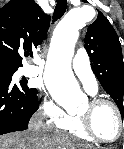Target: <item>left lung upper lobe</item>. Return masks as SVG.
<instances>
[{
    "label": "left lung upper lobe",
    "instance_id": "obj_1",
    "mask_svg": "<svg viewBox=\"0 0 124 149\" xmlns=\"http://www.w3.org/2000/svg\"><path fill=\"white\" fill-rule=\"evenodd\" d=\"M85 48L95 76L113 98L123 117L124 62L121 44L114 28L100 11L87 29Z\"/></svg>",
    "mask_w": 124,
    "mask_h": 149
}]
</instances>
